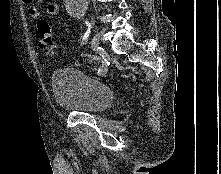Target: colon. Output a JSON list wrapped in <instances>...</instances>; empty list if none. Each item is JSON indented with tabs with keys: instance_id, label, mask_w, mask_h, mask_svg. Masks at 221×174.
<instances>
[{
	"instance_id": "1",
	"label": "colon",
	"mask_w": 221,
	"mask_h": 174,
	"mask_svg": "<svg viewBox=\"0 0 221 174\" xmlns=\"http://www.w3.org/2000/svg\"><path fill=\"white\" fill-rule=\"evenodd\" d=\"M36 36L40 47L46 50L48 54H52L53 53L52 30L50 24L46 20L44 19L38 20Z\"/></svg>"
}]
</instances>
